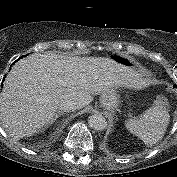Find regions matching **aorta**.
Wrapping results in <instances>:
<instances>
[{"label":"aorta","mask_w":177,"mask_h":177,"mask_svg":"<svg viewBox=\"0 0 177 177\" xmlns=\"http://www.w3.org/2000/svg\"><path fill=\"white\" fill-rule=\"evenodd\" d=\"M88 122L89 125L97 131H102L107 127L106 119L100 114H94L90 116Z\"/></svg>","instance_id":"762f6f07"}]
</instances>
